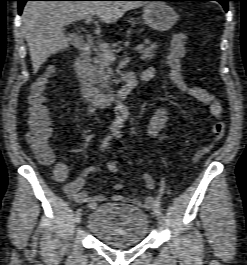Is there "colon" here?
Returning <instances> with one entry per match:
<instances>
[{"instance_id":"1","label":"colon","mask_w":247,"mask_h":265,"mask_svg":"<svg viewBox=\"0 0 247 265\" xmlns=\"http://www.w3.org/2000/svg\"><path fill=\"white\" fill-rule=\"evenodd\" d=\"M186 45L187 37L185 34L178 33L173 37L167 56V65L170 75L181 90L190 93L205 105H209L213 102V95L200 87L191 86L182 76V61L185 56ZM52 71L53 68L51 67L42 77L34 82L28 96L27 140L38 160L47 164L51 163L54 159V149L50 143L51 130L49 126V117L45 107L46 85ZM224 130V122L217 119L212 125L209 142L199 148L195 153L193 158L195 162L201 160L212 148L213 144L222 138ZM107 166L110 172L114 174L118 172V165L116 162L110 161ZM64 172V167L59 165L57 173L62 175Z\"/></svg>"}]
</instances>
